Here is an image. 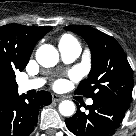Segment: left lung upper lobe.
<instances>
[{
  "instance_id": "1",
  "label": "left lung upper lobe",
  "mask_w": 136,
  "mask_h": 136,
  "mask_svg": "<svg viewBox=\"0 0 136 136\" xmlns=\"http://www.w3.org/2000/svg\"><path fill=\"white\" fill-rule=\"evenodd\" d=\"M66 29L82 36L92 54L88 79L80 83L76 93L129 106L133 89L132 69L119 43L89 26L74 25Z\"/></svg>"
}]
</instances>
